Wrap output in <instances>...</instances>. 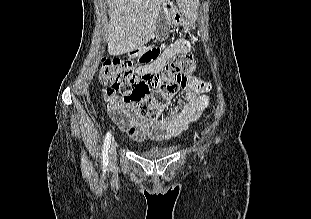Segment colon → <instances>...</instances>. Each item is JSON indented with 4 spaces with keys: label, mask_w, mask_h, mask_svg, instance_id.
I'll list each match as a JSON object with an SVG mask.
<instances>
[{
    "label": "colon",
    "mask_w": 311,
    "mask_h": 219,
    "mask_svg": "<svg viewBox=\"0 0 311 219\" xmlns=\"http://www.w3.org/2000/svg\"><path fill=\"white\" fill-rule=\"evenodd\" d=\"M196 64L191 55L173 56L162 73L152 76L138 74L130 60L103 58L98 67V77L107 85L103 98L115 115H119L117 106L124 103L136 107L148 120H157L178 91L187 85Z\"/></svg>",
    "instance_id": "obj_1"
}]
</instances>
